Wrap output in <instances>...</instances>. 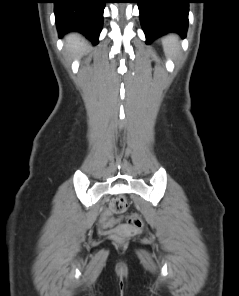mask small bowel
<instances>
[{
	"label": "small bowel",
	"instance_id": "c3829d8e",
	"mask_svg": "<svg viewBox=\"0 0 239 296\" xmlns=\"http://www.w3.org/2000/svg\"><path fill=\"white\" fill-rule=\"evenodd\" d=\"M103 222L108 226H112L114 224V220L110 212H106L104 214Z\"/></svg>",
	"mask_w": 239,
	"mask_h": 296
}]
</instances>
